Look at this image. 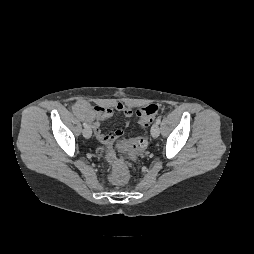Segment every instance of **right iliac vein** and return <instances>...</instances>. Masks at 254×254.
Segmentation results:
<instances>
[{"mask_svg":"<svg viewBox=\"0 0 254 254\" xmlns=\"http://www.w3.org/2000/svg\"><path fill=\"white\" fill-rule=\"evenodd\" d=\"M83 136L85 137V138H90L91 137V135H92V129H91V127L90 126H87V127H85L84 129H83Z\"/></svg>","mask_w":254,"mask_h":254,"instance_id":"obj_1","label":"right iliac vein"}]
</instances>
